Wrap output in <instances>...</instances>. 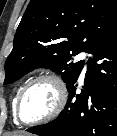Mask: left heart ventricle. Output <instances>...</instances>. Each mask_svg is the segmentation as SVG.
I'll use <instances>...</instances> for the list:
<instances>
[{"mask_svg":"<svg viewBox=\"0 0 117 136\" xmlns=\"http://www.w3.org/2000/svg\"><path fill=\"white\" fill-rule=\"evenodd\" d=\"M57 102V92L49 82L34 85L25 94L20 105V116L24 121H32L49 114Z\"/></svg>","mask_w":117,"mask_h":136,"instance_id":"b2bd125f","label":"left heart ventricle"}]
</instances>
